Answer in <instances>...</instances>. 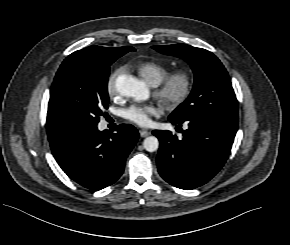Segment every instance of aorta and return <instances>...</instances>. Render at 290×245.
Segmentation results:
<instances>
[{"mask_svg": "<svg viewBox=\"0 0 290 245\" xmlns=\"http://www.w3.org/2000/svg\"><path fill=\"white\" fill-rule=\"evenodd\" d=\"M116 89L121 95L133 97L136 100H145L149 97L145 82L131 75L119 76L116 80ZM143 145L146 151L155 152L159 148V141L155 136H149L144 139Z\"/></svg>", "mask_w": 290, "mask_h": 245, "instance_id": "762f6f07", "label": "aorta"}]
</instances>
